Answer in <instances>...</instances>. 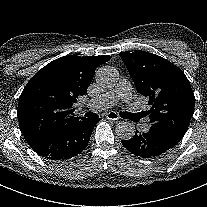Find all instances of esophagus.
I'll return each instance as SVG.
<instances>
[{"label":"esophagus","instance_id":"1","mask_svg":"<svg viewBox=\"0 0 207 207\" xmlns=\"http://www.w3.org/2000/svg\"><path fill=\"white\" fill-rule=\"evenodd\" d=\"M106 118L115 121L119 119V115L115 111H110L106 114Z\"/></svg>","mask_w":207,"mask_h":207}]
</instances>
